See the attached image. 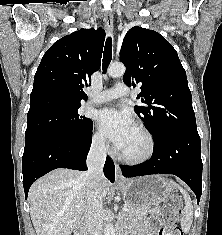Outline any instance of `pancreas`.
<instances>
[{
	"label": "pancreas",
	"mask_w": 222,
	"mask_h": 235,
	"mask_svg": "<svg viewBox=\"0 0 222 235\" xmlns=\"http://www.w3.org/2000/svg\"><path fill=\"white\" fill-rule=\"evenodd\" d=\"M127 207L129 208V211L127 212L128 219L133 223L137 222L138 220H141L148 213L156 215L161 214V208L159 206H155L153 208H148L144 210H139L132 206H127Z\"/></svg>",
	"instance_id": "pancreas-1"
}]
</instances>
